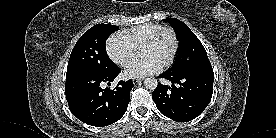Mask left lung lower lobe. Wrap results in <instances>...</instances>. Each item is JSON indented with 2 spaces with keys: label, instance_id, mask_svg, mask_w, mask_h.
<instances>
[{
  "label": "left lung lower lobe",
  "instance_id": "left-lung-lower-lobe-1",
  "mask_svg": "<svg viewBox=\"0 0 276 138\" xmlns=\"http://www.w3.org/2000/svg\"><path fill=\"white\" fill-rule=\"evenodd\" d=\"M171 85L158 84L152 97L157 109L166 117L187 122L198 117L209 104L213 94V71L182 75L166 71L159 75Z\"/></svg>",
  "mask_w": 276,
  "mask_h": 138
}]
</instances>
